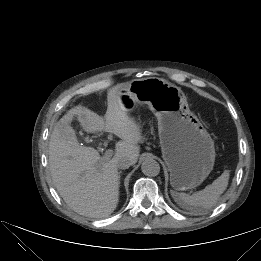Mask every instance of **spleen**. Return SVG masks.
<instances>
[{
	"instance_id": "obj_1",
	"label": "spleen",
	"mask_w": 261,
	"mask_h": 261,
	"mask_svg": "<svg viewBox=\"0 0 261 261\" xmlns=\"http://www.w3.org/2000/svg\"><path fill=\"white\" fill-rule=\"evenodd\" d=\"M229 180V171L225 170L211 185L195 194L172 192L175 201L182 207L189 209L193 214H200L203 209L211 208L219 196L226 190Z\"/></svg>"
}]
</instances>
